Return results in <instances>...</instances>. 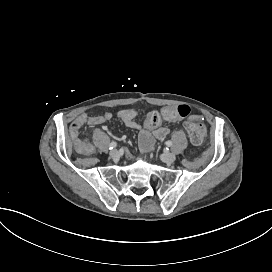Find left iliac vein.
Masks as SVG:
<instances>
[{
  "label": "left iliac vein",
  "instance_id": "4c4485c4",
  "mask_svg": "<svg viewBox=\"0 0 272 272\" xmlns=\"http://www.w3.org/2000/svg\"><path fill=\"white\" fill-rule=\"evenodd\" d=\"M161 160L166 164H171L176 160V155L173 153L166 152L161 156Z\"/></svg>",
  "mask_w": 272,
  "mask_h": 272
}]
</instances>
